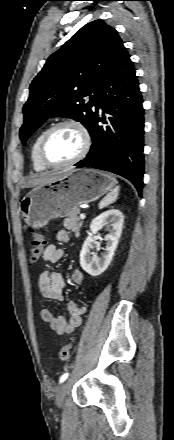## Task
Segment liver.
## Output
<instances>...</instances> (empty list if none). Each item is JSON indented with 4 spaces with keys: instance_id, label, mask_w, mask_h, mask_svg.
I'll use <instances>...</instances> for the list:
<instances>
[{
    "instance_id": "obj_1",
    "label": "liver",
    "mask_w": 174,
    "mask_h": 440,
    "mask_svg": "<svg viewBox=\"0 0 174 440\" xmlns=\"http://www.w3.org/2000/svg\"><path fill=\"white\" fill-rule=\"evenodd\" d=\"M64 172H59V173H52V174H47V175H42L38 178L32 179L30 180L25 187H36L45 183H48L50 181L55 180L56 178H58L61 174H63Z\"/></svg>"
}]
</instances>
